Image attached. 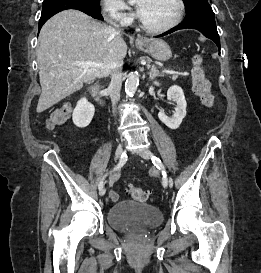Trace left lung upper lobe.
Masks as SVG:
<instances>
[{"instance_id":"5c2ea615","label":"left lung upper lobe","mask_w":261,"mask_h":273,"mask_svg":"<svg viewBox=\"0 0 261 273\" xmlns=\"http://www.w3.org/2000/svg\"><path fill=\"white\" fill-rule=\"evenodd\" d=\"M186 8V12L191 10L194 6L202 3H208V0H183Z\"/></svg>"}]
</instances>
